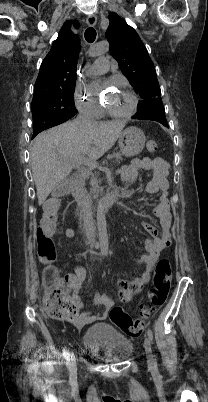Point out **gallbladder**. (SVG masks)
<instances>
[{
    "instance_id": "1",
    "label": "gallbladder",
    "mask_w": 208,
    "mask_h": 402,
    "mask_svg": "<svg viewBox=\"0 0 208 402\" xmlns=\"http://www.w3.org/2000/svg\"><path fill=\"white\" fill-rule=\"evenodd\" d=\"M70 181H59L58 186H55L54 191H52L51 196L54 199L59 198L60 195H66L67 190H70Z\"/></svg>"
}]
</instances>
